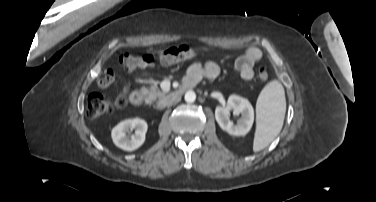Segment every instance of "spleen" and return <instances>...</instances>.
Here are the masks:
<instances>
[{"label":"spleen","mask_w":376,"mask_h":202,"mask_svg":"<svg viewBox=\"0 0 376 202\" xmlns=\"http://www.w3.org/2000/svg\"><path fill=\"white\" fill-rule=\"evenodd\" d=\"M285 111L284 88L279 81H271L263 88L256 103L257 126L253 142L255 152L268 146L280 133Z\"/></svg>","instance_id":"1"}]
</instances>
